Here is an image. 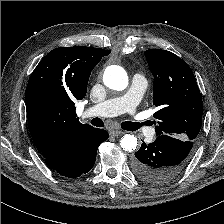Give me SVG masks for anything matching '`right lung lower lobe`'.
<instances>
[{
	"label": "right lung lower lobe",
	"mask_w": 224,
	"mask_h": 224,
	"mask_svg": "<svg viewBox=\"0 0 224 224\" xmlns=\"http://www.w3.org/2000/svg\"><path fill=\"white\" fill-rule=\"evenodd\" d=\"M109 137L103 129L91 128L67 140L46 164L62 176L75 178L89 172L94 166L99 145Z\"/></svg>",
	"instance_id": "right-lung-lower-lobe-1"
}]
</instances>
